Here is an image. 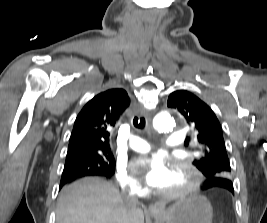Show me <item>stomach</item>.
Instances as JSON below:
<instances>
[{
    "mask_svg": "<svg viewBox=\"0 0 267 223\" xmlns=\"http://www.w3.org/2000/svg\"><path fill=\"white\" fill-rule=\"evenodd\" d=\"M151 215L160 223H212L213 210L206 197L190 195Z\"/></svg>",
    "mask_w": 267,
    "mask_h": 223,
    "instance_id": "1",
    "label": "stomach"
}]
</instances>
